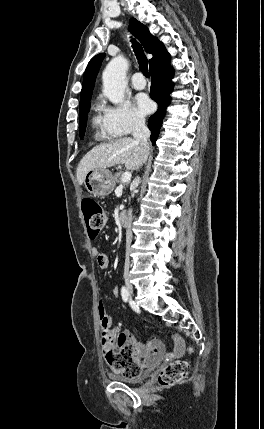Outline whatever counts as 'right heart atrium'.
I'll list each match as a JSON object with an SVG mask.
<instances>
[{"instance_id": "1", "label": "right heart atrium", "mask_w": 264, "mask_h": 429, "mask_svg": "<svg viewBox=\"0 0 264 429\" xmlns=\"http://www.w3.org/2000/svg\"><path fill=\"white\" fill-rule=\"evenodd\" d=\"M100 108L105 125L115 136L129 135L144 125L143 117L128 102L110 105L103 101Z\"/></svg>"}]
</instances>
